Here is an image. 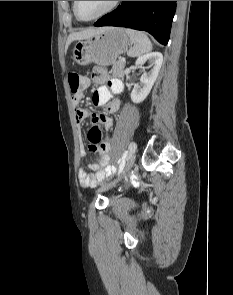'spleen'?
Instances as JSON below:
<instances>
[{
    "mask_svg": "<svg viewBox=\"0 0 233 295\" xmlns=\"http://www.w3.org/2000/svg\"><path fill=\"white\" fill-rule=\"evenodd\" d=\"M126 33L130 37V40L133 44V46L127 52L128 56L137 57L152 50L151 41L144 32L126 29Z\"/></svg>",
    "mask_w": 233,
    "mask_h": 295,
    "instance_id": "obj_1",
    "label": "spleen"
}]
</instances>
